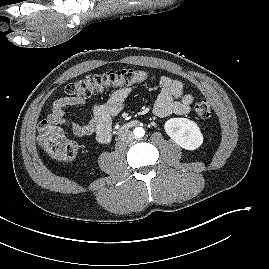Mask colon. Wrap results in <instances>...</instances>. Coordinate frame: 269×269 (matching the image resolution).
I'll return each instance as SVG.
<instances>
[{
	"instance_id": "1",
	"label": "colon",
	"mask_w": 269,
	"mask_h": 269,
	"mask_svg": "<svg viewBox=\"0 0 269 269\" xmlns=\"http://www.w3.org/2000/svg\"><path fill=\"white\" fill-rule=\"evenodd\" d=\"M149 73L133 68L109 71L103 74L86 75L65 86L67 97L86 98L111 87L127 86L151 80ZM195 113L202 119L211 115L208 101H200L195 105ZM37 139L42 148L53 158L70 161L77 155L78 145L64 136L61 129L50 120L42 121L38 126Z\"/></svg>"
}]
</instances>
